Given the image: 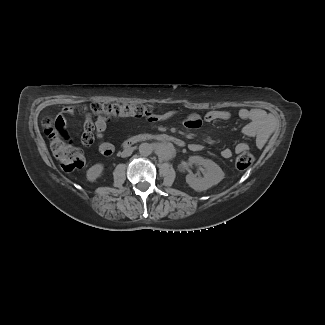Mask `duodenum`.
Wrapping results in <instances>:
<instances>
[{
  "label": "duodenum",
  "mask_w": 325,
  "mask_h": 325,
  "mask_svg": "<svg viewBox=\"0 0 325 325\" xmlns=\"http://www.w3.org/2000/svg\"><path fill=\"white\" fill-rule=\"evenodd\" d=\"M147 141L170 143L177 147H183L185 145L184 141L181 140L180 138L165 133H158V134H140V135L130 137L124 141L123 147L130 148L139 143L147 142Z\"/></svg>",
  "instance_id": "410a0bca"
}]
</instances>
